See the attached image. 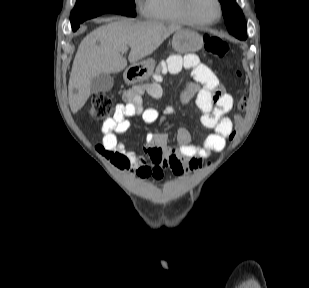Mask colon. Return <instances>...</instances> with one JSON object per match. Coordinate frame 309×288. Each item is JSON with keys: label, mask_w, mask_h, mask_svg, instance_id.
Segmentation results:
<instances>
[{"label": "colon", "mask_w": 309, "mask_h": 288, "mask_svg": "<svg viewBox=\"0 0 309 288\" xmlns=\"http://www.w3.org/2000/svg\"><path fill=\"white\" fill-rule=\"evenodd\" d=\"M204 43L206 50L217 58L224 57L229 51V44L215 36L206 35L204 37ZM238 76H241L240 71L236 72ZM249 104L248 94L245 93L237 103V112L234 116L235 129L229 135L230 140H233L236 135V130L243 123L242 112H244ZM117 105L112 98L106 93H96L92 98V104L90 109V115L93 119L102 120L115 114ZM104 148V147H103ZM108 155V154H107ZM110 160L114 163H119L124 160V157L120 154L114 153L108 155Z\"/></svg>", "instance_id": "1"}]
</instances>
